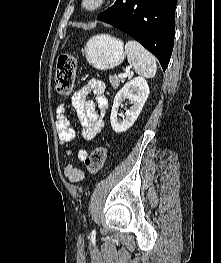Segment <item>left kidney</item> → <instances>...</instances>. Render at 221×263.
<instances>
[{
  "label": "left kidney",
  "instance_id": "1",
  "mask_svg": "<svg viewBox=\"0 0 221 263\" xmlns=\"http://www.w3.org/2000/svg\"><path fill=\"white\" fill-rule=\"evenodd\" d=\"M149 92L148 83L143 77L130 80L120 89L114 98L110 115L112 129L116 133H123L134 124L142 111ZM125 99H129L132 106L126 111V116L121 121L117 119L118 108Z\"/></svg>",
  "mask_w": 221,
  "mask_h": 263
}]
</instances>
